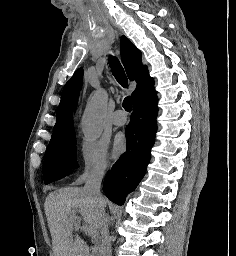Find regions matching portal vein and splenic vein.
<instances>
[{
  "mask_svg": "<svg viewBox=\"0 0 236 256\" xmlns=\"http://www.w3.org/2000/svg\"><path fill=\"white\" fill-rule=\"evenodd\" d=\"M73 220H79V218H77V216H73ZM83 230H85V232H88L89 236H92V238H96V232L95 230H93V228H88V226H83Z\"/></svg>",
  "mask_w": 236,
  "mask_h": 256,
  "instance_id": "portal-vein-and-splenic-vein-1",
  "label": "portal vein and splenic vein"
}]
</instances>
